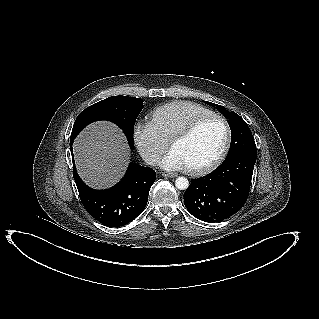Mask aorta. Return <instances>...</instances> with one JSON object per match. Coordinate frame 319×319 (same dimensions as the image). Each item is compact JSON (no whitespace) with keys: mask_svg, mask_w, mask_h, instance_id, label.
I'll return each mask as SVG.
<instances>
[{"mask_svg":"<svg viewBox=\"0 0 319 319\" xmlns=\"http://www.w3.org/2000/svg\"><path fill=\"white\" fill-rule=\"evenodd\" d=\"M175 186L180 190H185L189 186V181L185 177H178L175 181Z\"/></svg>","mask_w":319,"mask_h":319,"instance_id":"1","label":"aorta"}]
</instances>
